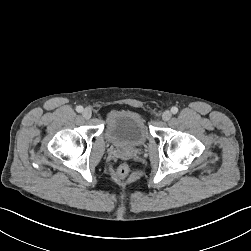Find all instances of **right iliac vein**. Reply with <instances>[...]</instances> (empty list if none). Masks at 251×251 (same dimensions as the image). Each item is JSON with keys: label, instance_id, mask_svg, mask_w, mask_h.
Here are the masks:
<instances>
[{"label": "right iliac vein", "instance_id": "right-iliac-vein-1", "mask_svg": "<svg viewBox=\"0 0 251 251\" xmlns=\"http://www.w3.org/2000/svg\"><path fill=\"white\" fill-rule=\"evenodd\" d=\"M82 115L84 118L86 119H89L92 115V111L90 108H85L83 111H82Z\"/></svg>", "mask_w": 251, "mask_h": 251}]
</instances>
